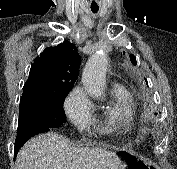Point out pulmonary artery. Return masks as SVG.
Listing matches in <instances>:
<instances>
[{"label":"pulmonary artery","instance_id":"1","mask_svg":"<svg viewBox=\"0 0 177 169\" xmlns=\"http://www.w3.org/2000/svg\"><path fill=\"white\" fill-rule=\"evenodd\" d=\"M120 88H122V86L120 84L115 85V89H120Z\"/></svg>","mask_w":177,"mask_h":169}]
</instances>
